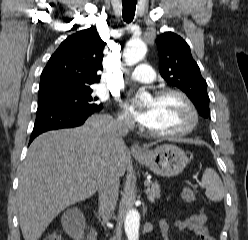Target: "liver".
<instances>
[{"label":"liver","instance_id":"1","mask_svg":"<svg viewBox=\"0 0 248 240\" xmlns=\"http://www.w3.org/2000/svg\"><path fill=\"white\" fill-rule=\"evenodd\" d=\"M113 122L93 115L81 127L49 131L32 142L17 194L25 240H39L61 211L94 195L109 162L124 175L129 153L123 140L119 147L109 141Z\"/></svg>","mask_w":248,"mask_h":240}]
</instances>
